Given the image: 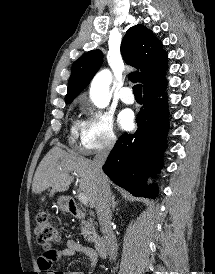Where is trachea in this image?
I'll list each match as a JSON object with an SVG mask.
<instances>
[{"label": "trachea", "instance_id": "obj_1", "mask_svg": "<svg viewBox=\"0 0 215 274\" xmlns=\"http://www.w3.org/2000/svg\"><path fill=\"white\" fill-rule=\"evenodd\" d=\"M133 93H134L135 97L142 98V85L136 84L133 87Z\"/></svg>", "mask_w": 215, "mask_h": 274}]
</instances>
